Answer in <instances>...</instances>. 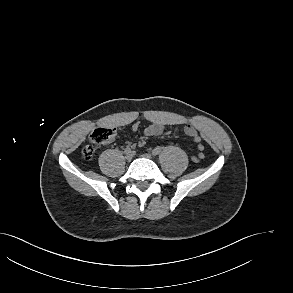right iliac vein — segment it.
I'll list each match as a JSON object with an SVG mask.
<instances>
[{
	"label": "right iliac vein",
	"mask_w": 293,
	"mask_h": 293,
	"mask_svg": "<svg viewBox=\"0 0 293 293\" xmlns=\"http://www.w3.org/2000/svg\"><path fill=\"white\" fill-rule=\"evenodd\" d=\"M126 160L128 161V162H130L131 160H132V158H133V152L132 153H128V154H126Z\"/></svg>",
	"instance_id": "63e3f726"
}]
</instances>
